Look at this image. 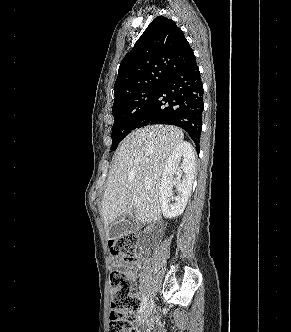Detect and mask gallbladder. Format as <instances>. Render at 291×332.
<instances>
[{"label": "gallbladder", "mask_w": 291, "mask_h": 332, "mask_svg": "<svg viewBox=\"0 0 291 332\" xmlns=\"http://www.w3.org/2000/svg\"><path fill=\"white\" fill-rule=\"evenodd\" d=\"M138 229L135 212L122 215L111 227L109 236L112 239H118L123 235L134 233Z\"/></svg>", "instance_id": "gallbladder-1"}]
</instances>
